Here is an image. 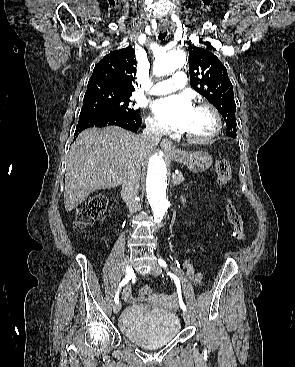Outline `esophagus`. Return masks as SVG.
Wrapping results in <instances>:
<instances>
[{
    "instance_id": "34e87169",
    "label": "esophagus",
    "mask_w": 295,
    "mask_h": 367,
    "mask_svg": "<svg viewBox=\"0 0 295 367\" xmlns=\"http://www.w3.org/2000/svg\"><path fill=\"white\" fill-rule=\"evenodd\" d=\"M166 29V26H163L162 27V30H165ZM161 145L163 147V149L165 151H168V152H174L175 151V147L172 145V142L169 140V139H163L161 141Z\"/></svg>"
}]
</instances>
